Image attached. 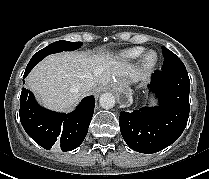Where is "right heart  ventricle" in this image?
I'll list each match as a JSON object with an SVG mask.
<instances>
[{
    "instance_id": "right-heart-ventricle-1",
    "label": "right heart ventricle",
    "mask_w": 209,
    "mask_h": 179,
    "mask_svg": "<svg viewBox=\"0 0 209 179\" xmlns=\"http://www.w3.org/2000/svg\"><path fill=\"white\" fill-rule=\"evenodd\" d=\"M144 51L145 48L141 46L126 48L124 50L119 51L116 55V58L117 60L122 62H133L140 58Z\"/></svg>"
}]
</instances>
